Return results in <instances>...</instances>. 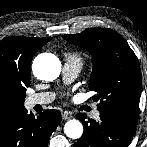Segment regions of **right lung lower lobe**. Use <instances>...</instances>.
I'll list each match as a JSON object with an SVG mask.
<instances>
[{
  "label": "right lung lower lobe",
  "mask_w": 147,
  "mask_h": 147,
  "mask_svg": "<svg viewBox=\"0 0 147 147\" xmlns=\"http://www.w3.org/2000/svg\"><path fill=\"white\" fill-rule=\"evenodd\" d=\"M61 121L58 110H46L37 118L25 108L0 118V147H47Z\"/></svg>",
  "instance_id": "obj_1"
}]
</instances>
